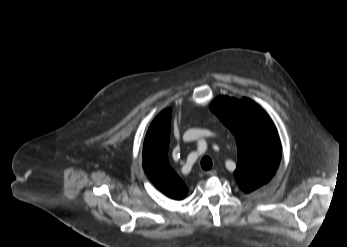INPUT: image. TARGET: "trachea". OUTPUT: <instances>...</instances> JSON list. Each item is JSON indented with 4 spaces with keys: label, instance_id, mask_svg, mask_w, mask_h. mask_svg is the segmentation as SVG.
<instances>
[{
    "label": "trachea",
    "instance_id": "3493384b",
    "mask_svg": "<svg viewBox=\"0 0 347 247\" xmlns=\"http://www.w3.org/2000/svg\"><path fill=\"white\" fill-rule=\"evenodd\" d=\"M201 167L204 170H210L212 168V160H211V158L208 157V156L203 157L202 160H201Z\"/></svg>",
    "mask_w": 347,
    "mask_h": 247
}]
</instances>
